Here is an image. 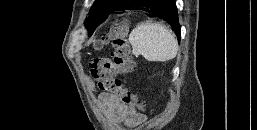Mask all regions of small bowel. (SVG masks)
<instances>
[{
  "mask_svg": "<svg viewBox=\"0 0 257 130\" xmlns=\"http://www.w3.org/2000/svg\"><path fill=\"white\" fill-rule=\"evenodd\" d=\"M100 100L107 106L112 116L119 122L134 126L143 120V116L138 114L135 109L119 104L111 95L102 94L100 95Z\"/></svg>",
  "mask_w": 257,
  "mask_h": 130,
  "instance_id": "c3829d8e",
  "label": "small bowel"
}]
</instances>
